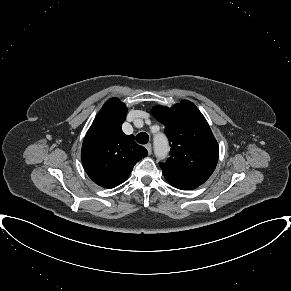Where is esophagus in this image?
I'll return each mask as SVG.
<instances>
[{
  "instance_id": "obj_1",
  "label": "esophagus",
  "mask_w": 291,
  "mask_h": 291,
  "mask_svg": "<svg viewBox=\"0 0 291 291\" xmlns=\"http://www.w3.org/2000/svg\"><path fill=\"white\" fill-rule=\"evenodd\" d=\"M145 147H146V149H147V151H148V153L150 155L152 153V145L150 143H148V144L145 145Z\"/></svg>"
}]
</instances>
